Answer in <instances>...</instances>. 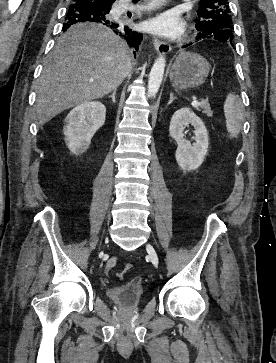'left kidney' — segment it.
Wrapping results in <instances>:
<instances>
[{
    "label": "left kidney",
    "instance_id": "5707ae66",
    "mask_svg": "<svg viewBox=\"0 0 276 363\" xmlns=\"http://www.w3.org/2000/svg\"><path fill=\"white\" fill-rule=\"evenodd\" d=\"M191 124L194 127V143L185 138L184 130ZM170 136L177 142L175 157L183 171H194L200 167L208 151V132L203 121L189 108L177 110L170 122Z\"/></svg>",
    "mask_w": 276,
    "mask_h": 363
}]
</instances>
